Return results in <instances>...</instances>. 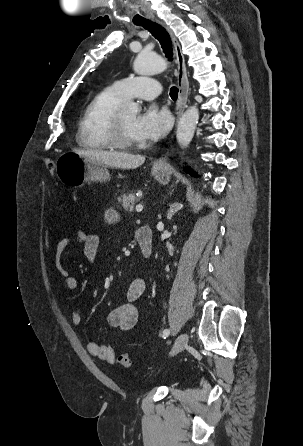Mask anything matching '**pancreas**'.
<instances>
[{
	"label": "pancreas",
	"instance_id": "pancreas-1",
	"mask_svg": "<svg viewBox=\"0 0 303 446\" xmlns=\"http://www.w3.org/2000/svg\"><path fill=\"white\" fill-rule=\"evenodd\" d=\"M118 201L121 203L122 207L127 211H133L135 203L138 201L134 193L123 194L118 197Z\"/></svg>",
	"mask_w": 303,
	"mask_h": 446
}]
</instances>
